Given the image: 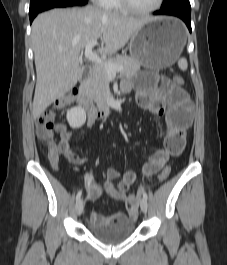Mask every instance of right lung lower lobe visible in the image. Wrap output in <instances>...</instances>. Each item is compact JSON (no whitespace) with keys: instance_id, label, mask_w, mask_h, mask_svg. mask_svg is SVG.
I'll list each match as a JSON object with an SVG mask.
<instances>
[{"instance_id":"98d812e1","label":"right lung lower lobe","mask_w":227,"mask_h":265,"mask_svg":"<svg viewBox=\"0 0 227 265\" xmlns=\"http://www.w3.org/2000/svg\"><path fill=\"white\" fill-rule=\"evenodd\" d=\"M87 2L88 1H86V0H58V1L52 2V3L48 4L44 9H42L38 12L29 14L30 23L33 21V19L36 17V15L42 11L56 8V7L81 6V5L87 4Z\"/></svg>"}]
</instances>
